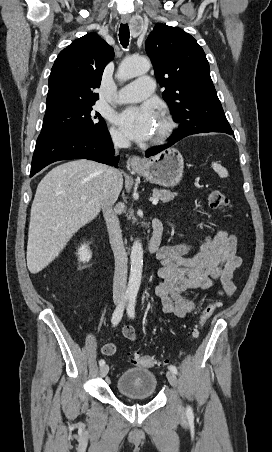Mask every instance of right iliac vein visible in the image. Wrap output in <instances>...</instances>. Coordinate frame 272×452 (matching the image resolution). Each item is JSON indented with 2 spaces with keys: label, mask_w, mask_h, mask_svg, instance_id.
<instances>
[{
  "label": "right iliac vein",
  "mask_w": 272,
  "mask_h": 452,
  "mask_svg": "<svg viewBox=\"0 0 272 452\" xmlns=\"http://www.w3.org/2000/svg\"><path fill=\"white\" fill-rule=\"evenodd\" d=\"M118 304V302H117ZM109 372V366L107 364H104L103 366L100 367V375L102 377H105Z\"/></svg>",
  "instance_id": "1"
}]
</instances>
